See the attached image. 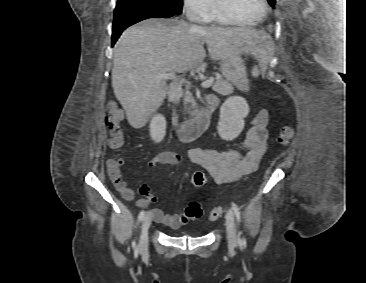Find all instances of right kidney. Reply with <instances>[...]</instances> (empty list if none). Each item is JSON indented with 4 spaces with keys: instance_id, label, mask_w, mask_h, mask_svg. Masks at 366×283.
I'll return each instance as SVG.
<instances>
[{
    "instance_id": "obj_1",
    "label": "right kidney",
    "mask_w": 366,
    "mask_h": 283,
    "mask_svg": "<svg viewBox=\"0 0 366 283\" xmlns=\"http://www.w3.org/2000/svg\"><path fill=\"white\" fill-rule=\"evenodd\" d=\"M166 134V119L161 114H156L150 121V136L153 141L159 143Z\"/></svg>"
}]
</instances>
